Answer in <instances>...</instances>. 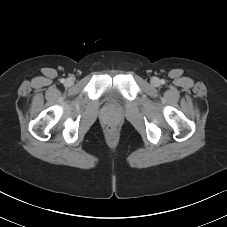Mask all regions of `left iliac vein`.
<instances>
[{"mask_svg":"<svg viewBox=\"0 0 227 227\" xmlns=\"http://www.w3.org/2000/svg\"><path fill=\"white\" fill-rule=\"evenodd\" d=\"M151 84L154 86H158L159 85V79L158 78H152L151 79Z\"/></svg>","mask_w":227,"mask_h":227,"instance_id":"obj_1","label":"left iliac vein"}]
</instances>
